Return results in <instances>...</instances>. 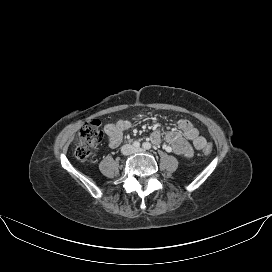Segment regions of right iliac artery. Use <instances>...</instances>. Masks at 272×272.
I'll list each match as a JSON object with an SVG mask.
<instances>
[{"mask_svg": "<svg viewBox=\"0 0 272 272\" xmlns=\"http://www.w3.org/2000/svg\"><path fill=\"white\" fill-rule=\"evenodd\" d=\"M133 146L137 148V147L140 146V143H139L138 141H135V142L133 143Z\"/></svg>", "mask_w": 272, "mask_h": 272, "instance_id": "right-iliac-artery-1", "label": "right iliac artery"}]
</instances>
